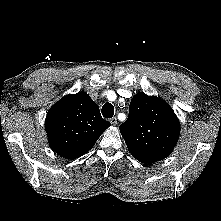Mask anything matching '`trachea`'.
<instances>
[{"label":"trachea","mask_w":221,"mask_h":221,"mask_svg":"<svg viewBox=\"0 0 221 221\" xmlns=\"http://www.w3.org/2000/svg\"><path fill=\"white\" fill-rule=\"evenodd\" d=\"M102 115L105 118H112L114 115V107L111 103H106L102 107Z\"/></svg>","instance_id":"trachea-1"}]
</instances>
